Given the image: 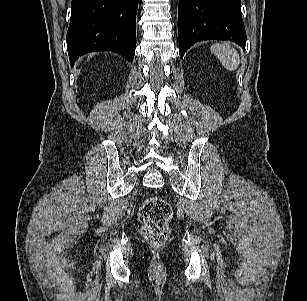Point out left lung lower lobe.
I'll use <instances>...</instances> for the list:
<instances>
[{"mask_svg":"<svg viewBox=\"0 0 307 301\" xmlns=\"http://www.w3.org/2000/svg\"><path fill=\"white\" fill-rule=\"evenodd\" d=\"M179 54L203 40H230L245 48L240 0H179Z\"/></svg>","mask_w":307,"mask_h":301,"instance_id":"left-lung-lower-lobe-1","label":"left lung lower lobe"}]
</instances>
